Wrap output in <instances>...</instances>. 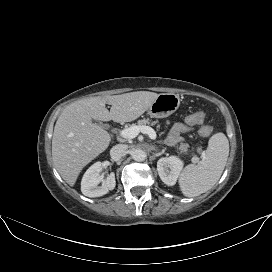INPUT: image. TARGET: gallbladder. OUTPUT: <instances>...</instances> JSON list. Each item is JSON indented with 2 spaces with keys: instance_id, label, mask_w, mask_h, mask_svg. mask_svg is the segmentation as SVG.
Wrapping results in <instances>:
<instances>
[{
  "instance_id": "gallbladder-1",
  "label": "gallbladder",
  "mask_w": 272,
  "mask_h": 272,
  "mask_svg": "<svg viewBox=\"0 0 272 272\" xmlns=\"http://www.w3.org/2000/svg\"><path fill=\"white\" fill-rule=\"evenodd\" d=\"M95 123H96L97 125H99L100 127L104 128V129H107V128L109 127L107 124H104V123H102V122H100V121H95Z\"/></svg>"
}]
</instances>
